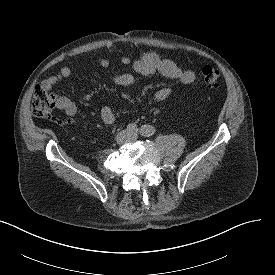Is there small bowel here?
<instances>
[{
  "mask_svg": "<svg viewBox=\"0 0 275 275\" xmlns=\"http://www.w3.org/2000/svg\"><path fill=\"white\" fill-rule=\"evenodd\" d=\"M120 62L125 66L131 64L134 72L144 77L160 74L169 79H176L184 85L192 84L195 81V74L193 71L182 69L173 61L162 59L154 52H147L134 61H131L128 56H123ZM100 66L102 68H108L110 66L109 59H101ZM71 74L72 70L69 67H63L56 74L47 78L43 82V85L46 88H51L57 83L69 78ZM112 81L117 86L129 87L134 84L135 76L131 73H118L113 75ZM171 93V87L163 86L155 92V99L158 101L165 100ZM57 108L70 117H74L77 114L76 105L66 97L58 98ZM100 116L101 120L107 125H111L115 122V115L108 105H103L101 107Z\"/></svg>",
  "mask_w": 275,
  "mask_h": 275,
  "instance_id": "small-bowel-1",
  "label": "small bowel"
}]
</instances>
